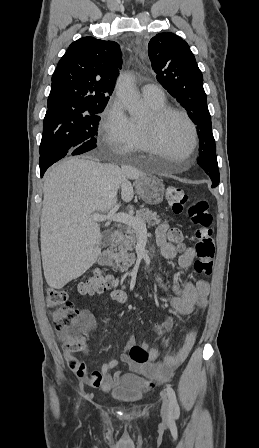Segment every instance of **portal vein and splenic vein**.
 <instances>
[{"label": "portal vein and splenic vein", "mask_w": 259, "mask_h": 448, "mask_svg": "<svg viewBox=\"0 0 259 448\" xmlns=\"http://www.w3.org/2000/svg\"><path fill=\"white\" fill-rule=\"evenodd\" d=\"M91 220H95V222H107V220H112V222H121V224H127V226H131L133 230H137L139 234H147V228L145 222H141L138 218H134L131 214H116L115 210H110L106 216L103 214H92L89 216Z\"/></svg>", "instance_id": "portal-vein-and-splenic-vein-1"}]
</instances>
